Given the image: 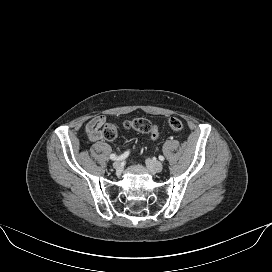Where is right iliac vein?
Returning a JSON list of instances; mask_svg holds the SVG:
<instances>
[{"label":"right iliac vein","instance_id":"right-iliac-vein-1","mask_svg":"<svg viewBox=\"0 0 272 272\" xmlns=\"http://www.w3.org/2000/svg\"><path fill=\"white\" fill-rule=\"evenodd\" d=\"M113 167L116 170H120L122 168V163L119 160H116L115 162H113Z\"/></svg>","mask_w":272,"mask_h":272}]
</instances>
